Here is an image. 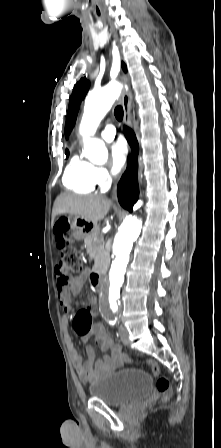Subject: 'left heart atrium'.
<instances>
[{
    "instance_id": "obj_1",
    "label": "left heart atrium",
    "mask_w": 221,
    "mask_h": 448,
    "mask_svg": "<svg viewBox=\"0 0 221 448\" xmlns=\"http://www.w3.org/2000/svg\"><path fill=\"white\" fill-rule=\"evenodd\" d=\"M127 147L121 142H114L110 147L111 169L113 173H119L126 161Z\"/></svg>"
}]
</instances>
